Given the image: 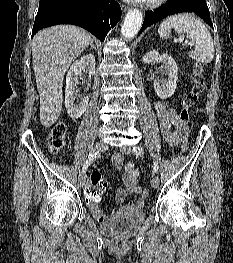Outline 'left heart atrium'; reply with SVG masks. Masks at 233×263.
<instances>
[{"label":"left heart atrium","instance_id":"1","mask_svg":"<svg viewBox=\"0 0 233 263\" xmlns=\"http://www.w3.org/2000/svg\"><path fill=\"white\" fill-rule=\"evenodd\" d=\"M127 1H129V2H143L145 0H127Z\"/></svg>","mask_w":233,"mask_h":263}]
</instances>
